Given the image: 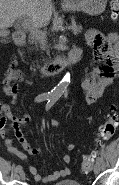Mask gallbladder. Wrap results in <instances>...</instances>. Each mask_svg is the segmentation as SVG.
<instances>
[{"label": "gallbladder", "instance_id": "bac80fb5", "mask_svg": "<svg viewBox=\"0 0 119 185\" xmlns=\"http://www.w3.org/2000/svg\"><path fill=\"white\" fill-rule=\"evenodd\" d=\"M9 31L7 29H0V37L4 39L5 42H8Z\"/></svg>", "mask_w": 119, "mask_h": 185}]
</instances>
